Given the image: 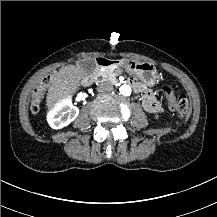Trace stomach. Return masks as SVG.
<instances>
[{"instance_id":"1","label":"stomach","mask_w":217,"mask_h":217,"mask_svg":"<svg viewBox=\"0 0 217 217\" xmlns=\"http://www.w3.org/2000/svg\"><path fill=\"white\" fill-rule=\"evenodd\" d=\"M131 75L135 76L147 87H154L157 81V69L153 63L124 60L121 65Z\"/></svg>"}]
</instances>
